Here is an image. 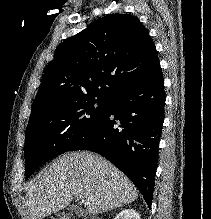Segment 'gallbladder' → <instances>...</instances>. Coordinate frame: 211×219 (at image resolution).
Instances as JSON below:
<instances>
[{"label": "gallbladder", "instance_id": "obj_1", "mask_svg": "<svg viewBox=\"0 0 211 219\" xmlns=\"http://www.w3.org/2000/svg\"><path fill=\"white\" fill-rule=\"evenodd\" d=\"M70 211L75 212L76 214H82V210L77 208L76 206H71Z\"/></svg>", "mask_w": 211, "mask_h": 219}]
</instances>
